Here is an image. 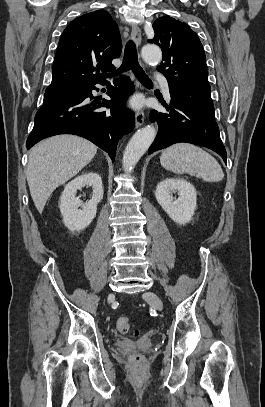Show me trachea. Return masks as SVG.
<instances>
[{
    "label": "trachea",
    "instance_id": "trachea-1",
    "mask_svg": "<svg viewBox=\"0 0 265 407\" xmlns=\"http://www.w3.org/2000/svg\"><path fill=\"white\" fill-rule=\"evenodd\" d=\"M129 69H131L134 72L135 76L142 84L145 85L153 84L150 78L145 74L143 69L140 67L137 58L136 45L131 40L128 41L125 46L123 63L120 69L116 73H114V75L127 71Z\"/></svg>",
    "mask_w": 265,
    "mask_h": 407
}]
</instances>
